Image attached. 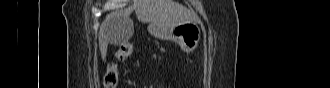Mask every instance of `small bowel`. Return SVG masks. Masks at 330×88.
<instances>
[{
	"instance_id": "small-bowel-1",
	"label": "small bowel",
	"mask_w": 330,
	"mask_h": 88,
	"mask_svg": "<svg viewBox=\"0 0 330 88\" xmlns=\"http://www.w3.org/2000/svg\"><path fill=\"white\" fill-rule=\"evenodd\" d=\"M133 50V47H132ZM118 53L122 56H126V58L132 53V51H129L127 46L125 44L120 45L118 49Z\"/></svg>"
}]
</instances>
